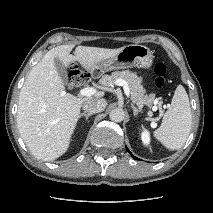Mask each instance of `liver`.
Segmentation results:
<instances>
[{
  "label": "liver",
  "instance_id": "liver-1",
  "mask_svg": "<svg viewBox=\"0 0 213 213\" xmlns=\"http://www.w3.org/2000/svg\"><path fill=\"white\" fill-rule=\"evenodd\" d=\"M61 45L49 50L29 72L20 90L17 127L32 155L43 161H53L69 148L82 104L99 99L104 92L86 98L67 94L54 63L58 58L65 67L75 61L89 73L103 60L117 55L123 47L107 49Z\"/></svg>",
  "mask_w": 213,
  "mask_h": 213
}]
</instances>
